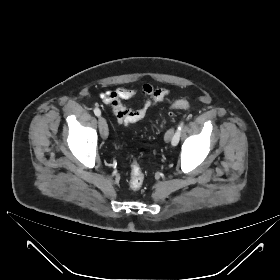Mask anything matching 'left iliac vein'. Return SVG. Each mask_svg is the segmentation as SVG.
<instances>
[{"mask_svg":"<svg viewBox=\"0 0 280 280\" xmlns=\"http://www.w3.org/2000/svg\"><path fill=\"white\" fill-rule=\"evenodd\" d=\"M173 136H174V129L171 128L165 133L164 140L166 142H170L173 139Z\"/></svg>","mask_w":280,"mask_h":280,"instance_id":"4c4485c4","label":"left iliac vein"}]
</instances>
